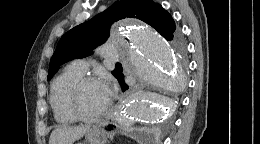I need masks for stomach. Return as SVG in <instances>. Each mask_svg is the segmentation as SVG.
I'll use <instances>...</instances> for the list:
<instances>
[{
  "label": "stomach",
  "mask_w": 260,
  "mask_h": 144,
  "mask_svg": "<svg viewBox=\"0 0 260 144\" xmlns=\"http://www.w3.org/2000/svg\"><path fill=\"white\" fill-rule=\"evenodd\" d=\"M86 144H106L105 132L99 127H93L86 132ZM81 144V143H80Z\"/></svg>",
  "instance_id": "stomach-1"
}]
</instances>
